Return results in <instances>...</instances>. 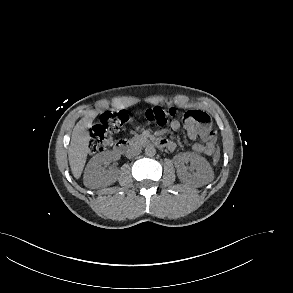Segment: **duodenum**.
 Instances as JSON below:
<instances>
[{"mask_svg":"<svg viewBox=\"0 0 293 293\" xmlns=\"http://www.w3.org/2000/svg\"><path fill=\"white\" fill-rule=\"evenodd\" d=\"M153 145L157 148L167 147L165 140H156L153 142ZM135 147L127 139H119L114 145V150L122 155H130L134 152Z\"/></svg>","mask_w":293,"mask_h":293,"instance_id":"410a0bca","label":"duodenum"}]
</instances>
